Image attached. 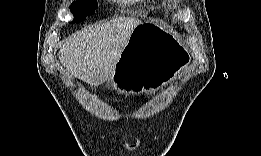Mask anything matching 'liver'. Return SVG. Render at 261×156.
Segmentation results:
<instances>
[{
  "mask_svg": "<svg viewBox=\"0 0 261 156\" xmlns=\"http://www.w3.org/2000/svg\"><path fill=\"white\" fill-rule=\"evenodd\" d=\"M142 22L119 17L72 34L59 50V60L70 74L90 85H100L116 71L132 31Z\"/></svg>",
  "mask_w": 261,
  "mask_h": 156,
  "instance_id": "obj_1",
  "label": "liver"
}]
</instances>
